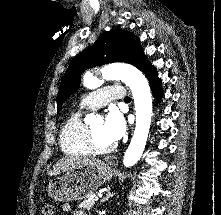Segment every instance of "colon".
<instances>
[{"label":"colon","mask_w":221,"mask_h":215,"mask_svg":"<svg viewBox=\"0 0 221 215\" xmlns=\"http://www.w3.org/2000/svg\"><path fill=\"white\" fill-rule=\"evenodd\" d=\"M41 213L42 215H55V208L51 204H43Z\"/></svg>","instance_id":"obj_1"}]
</instances>
